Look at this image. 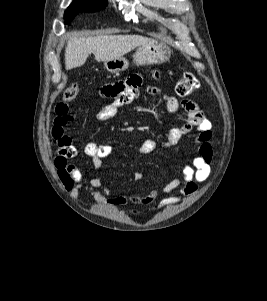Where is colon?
<instances>
[{"label":"colon","instance_id":"1","mask_svg":"<svg viewBox=\"0 0 267 301\" xmlns=\"http://www.w3.org/2000/svg\"><path fill=\"white\" fill-rule=\"evenodd\" d=\"M199 86L197 78L190 72L184 73L177 82L176 93L179 96H188L192 94ZM78 94L76 85L68 86L63 93V100L65 102L73 101Z\"/></svg>","mask_w":267,"mask_h":301}]
</instances>
